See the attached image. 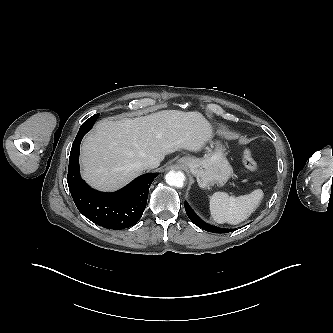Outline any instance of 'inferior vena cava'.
<instances>
[{
  "instance_id": "1",
  "label": "inferior vena cava",
  "mask_w": 333,
  "mask_h": 333,
  "mask_svg": "<svg viewBox=\"0 0 333 333\" xmlns=\"http://www.w3.org/2000/svg\"><path fill=\"white\" fill-rule=\"evenodd\" d=\"M160 162L156 159L149 158L141 162V167L144 169H153L158 167Z\"/></svg>"
}]
</instances>
